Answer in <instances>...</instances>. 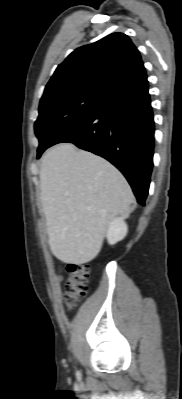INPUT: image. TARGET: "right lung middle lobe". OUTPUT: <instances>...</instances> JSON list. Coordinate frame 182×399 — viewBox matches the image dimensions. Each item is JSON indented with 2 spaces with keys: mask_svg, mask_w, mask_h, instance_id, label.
Listing matches in <instances>:
<instances>
[{
  "mask_svg": "<svg viewBox=\"0 0 182 399\" xmlns=\"http://www.w3.org/2000/svg\"><path fill=\"white\" fill-rule=\"evenodd\" d=\"M104 99L80 93L41 101L35 122V134L40 142L37 158L51 145L57 133L98 109Z\"/></svg>",
  "mask_w": 182,
  "mask_h": 399,
  "instance_id": "obj_1",
  "label": "right lung middle lobe"
}]
</instances>
